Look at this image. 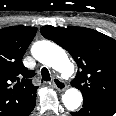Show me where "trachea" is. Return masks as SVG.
I'll use <instances>...</instances> for the list:
<instances>
[{"label": "trachea", "instance_id": "trachea-1", "mask_svg": "<svg viewBox=\"0 0 116 116\" xmlns=\"http://www.w3.org/2000/svg\"><path fill=\"white\" fill-rule=\"evenodd\" d=\"M41 77H42V81H50L51 80L50 73L46 67L42 68Z\"/></svg>", "mask_w": 116, "mask_h": 116}]
</instances>
